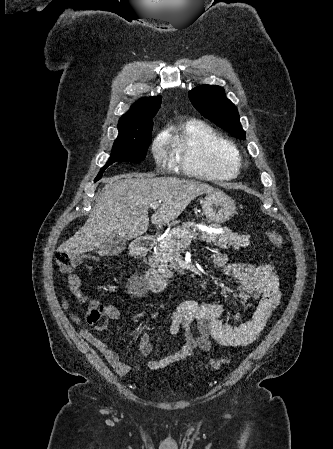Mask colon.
Wrapping results in <instances>:
<instances>
[{
    "instance_id": "obj_1",
    "label": "colon",
    "mask_w": 333,
    "mask_h": 449,
    "mask_svg": "<svg viewBox=\"0 0 333 449\" xmlns=\"http://www.w3.org/2000/svg\"><path fill=\"white\" fill-rule=\"evenodd\" d=\"M267 237L270 240V242L276 247L278 248L283 247L284 240L278 232L274 230H268ZM86 259H88V256L83 254H77L67 251H58L55 255V264L62 272L67 273L76 269L79 266V264ZM107 309L108 307L99 304H95L92 307H90L87 311L86 316L88 323L95 324L99 322L107 314ZM230 359L231 358L229 356L213 359L210 361V367L214 370H217L223 365L228 364L230 362Z\"/></svg>"
}]
</instances>
